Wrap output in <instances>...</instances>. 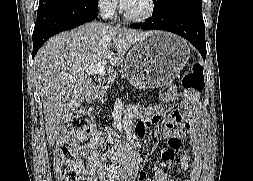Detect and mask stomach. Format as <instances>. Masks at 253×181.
<instances>
[{
	"label": "stomach",
	"mask_w": 253,
	"mask_h": 181,
	"mask_svg": "<svg viewBox=\"0 0 253 181\" xmlns=\"http://www.w3.org/2000/svg\"><path fill=\"white\" fill-rule=\"evenodd\" d=\"M189 58L185 40L172 33L153 31L128 52L124 76L138 89L163 87L179 75Z\"/></svg>",
	"instance_id": "obj_1"
}]
</instances>
